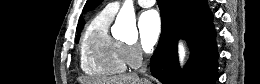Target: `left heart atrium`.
Masks as SVG:
<instances>
[{
	"label": "left heart atrium",
	"mask_w": 260,
	"mask_h": 84,
	"mask_svg": "<svg viewBox=\"0 0 260 84\" xmlns=\"http://www.w3.org/2000/svg\"><path fill=\"white\" fill-rule=\"evenodd\" d=\"M140 42L144 49L150 50L157 42L161 31V19L156 10L144 11L138 22Z\"/></svg>",
	"instance_id": "39dd6f15"
}]
</instances>
